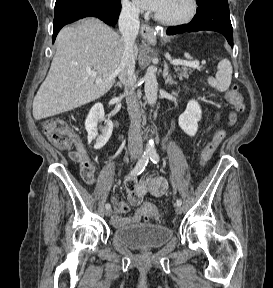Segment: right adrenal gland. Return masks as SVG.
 <instances>
[{"label": "right adrenal gland", "mask_w": 273, "mask_h": 288, "mask_svg": "<svg viewBox=\"0 0 273 288\" xmlns=\"http://www.w3.org/2000/svg\"><path fill=\"white\" fill-rule=\"evenodd\" d=\"M115 87H120V88H122V84H121L120 82H118V83L115 85Z\"/></svg>", "instance_id": "obj_1"}]
</instances>
